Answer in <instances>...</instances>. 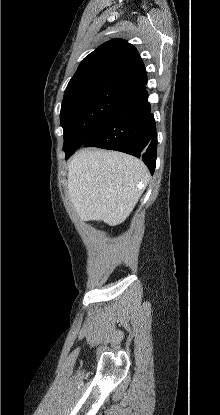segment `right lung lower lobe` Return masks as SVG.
I'll list each match as a JSON object with an SVG mask.
<instances>
[{"instance_id": "98d812e1", "label": "right lung lower lobe", "mask_w": 220, "mask_h": 415, "mask_svg": "<svg viewBox=\"0 0 220 415\" xmlns=\"http://www.w3.org/2000/svg\"><path fill=\"white\" fill-rule=\"evenodd\" d=\"M84 146L117 150L142 158L153 174L156 165L157 133L146 85L120 104ZM76 149H65V159Z\"/></svg>"}]
</instances>
